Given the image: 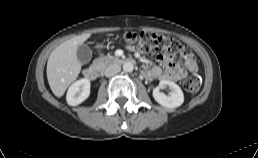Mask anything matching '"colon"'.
I'll return each instance as SVG.
<instances>
[{"label": "colon", "instance_id": "5ec220e1", "mask_svg": "<svg viewBox=\"0 0 258 158\" xmlns=\"http://www.w3.org/2000/svg\"><path fill=\"white\" fill-rule=\"evenodd\" d=\"M124 40L133 48L144 52L165 53L183 58L191 55V52L177 40L155 33L129 32L124 35ZM202 80L194 74L184 80L183 87L189 93H197L201 88Z\"/></svg>", "mask_w": 258, "mask_h": 158}]
</instances>
